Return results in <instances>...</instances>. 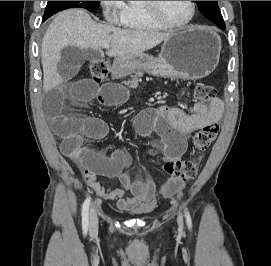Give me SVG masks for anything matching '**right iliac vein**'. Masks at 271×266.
<instances>
[{"label": "right iliac vein", "mask_w": 271, "mask_h": 266, "mask_svg": "<svg viewBox=\"0 0 271 266\" xmlns=\"http://www.w3.org/2000/svg\"><path fill=\"white\" fill-rule=\"evenodd\" d=\"M98 230V217L95 208L90 211V234H96Z\"/></svg>", "instance_id": "1"}]
</instances>
